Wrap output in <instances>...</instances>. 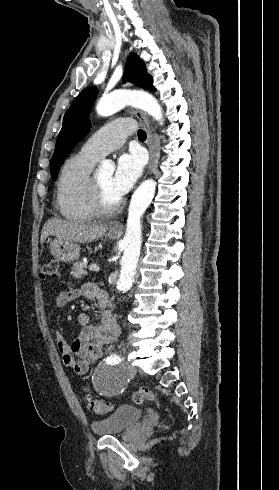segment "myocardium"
<instances>
[{
	"mask_svg": "<svg viewBox=\"0 0 279 490\" xmlns=\"http://www.w3.org/2000/svg\"><path fill=\"white\" fill-rule=\"evenodd\" d=\"M92 206L98 215H112L116 213L122 206L121 200L110 201L104 194L103 187L97 182L96 179L92 180Z\"/></svg>",
	"mask_w": 279,
	"mask_h": 490,
	"instance_id": "obj_1",
	"label": "myocardium"
}]
</instances>
